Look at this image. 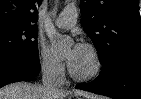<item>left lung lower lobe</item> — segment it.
Here are the masks:
<instances>
[{
    "label": "left lung lower lobe",
    "instance_id": "1",
    "mask_svg": "<svg viewBox=\"0 0 141 99\" xmlns=\"http://www.w3.org/2000/svg\"><path fill=\"white\" fill-rule=\"evenodd\" d=\"M76 88L114 99H141V54L116 56L94 81Z\"/></svg>",
    "mask_w": 141,
    "mask_h": 99
}]
</instances>
